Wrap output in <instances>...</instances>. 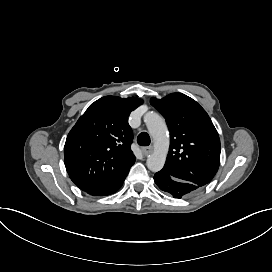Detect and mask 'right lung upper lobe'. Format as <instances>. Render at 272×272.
<instances>
[{
	"label": "right lung upper lobe",
	"instance_id": "right-lung-upper-lobe-1",
	"mask_svg": "<svg viewBox=\"0 0 272 272\" xmlns=\"http://www.w3.org/2000/svg\"><path fill=\"white\" fill-rule=\"evenodd\" d=\"M142 103L136 97H102L89 106L71 129L64 161L71 180L81 190L109 184L134 164L128 117Z\"/></svg>",
	"mask_w": 272,
	"mask_h": 272
}]
</instances>
